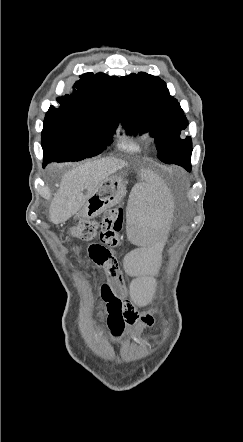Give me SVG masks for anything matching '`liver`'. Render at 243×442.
I'll list each match as a JSON object with an SVG mask.
<instances>
[{"label":"liver","instance_id":"liver-1","mask_svg":"<svg viewBox=\"0 0 243 442\" xmlns=\"http://www.w3.org/2000/svg\"><path fill=\"white\" fill-rule=\"evenodd\" d=\"M126 166L123 160L102 158L86 161L68 171L50 204V221L54 224L67 221L83 207L101 182Z\"/></svg>","mask_w":243,"mask_h":442}]
</instances>
